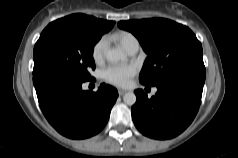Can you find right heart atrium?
Segmentation results:
<instances>
[{
  "instance_id": "d8ad5b80",
  "label": "right heart atrium",
  "mask_w": 238,
  "mask_h": 158,
  "mask_svg": "<svg viewBox=\"0 0 238 158\" xmlns=\"http://www.w3.org/2000/svg\"><path fill=\"white\" fill-rule=\"evenodd\" d=\"M107 38L101 37L92 48V57L96 62H100L105 54L106 46H107Z\"/></svg>"
}]
</instances>
